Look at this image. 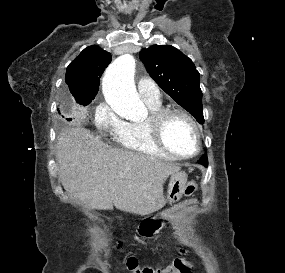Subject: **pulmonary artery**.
<instances>
[{"mask_svg":"<svg viewBox=\"0 0 285 273\" xmlns=\"http://www.w3.org/2000/svg\"><path fill=\"white\" fill-rule=\"evenodd\" d=\"M137 88L145 102H160L161 93L154 81L148 77H141L137 81Z\"/></svg>","mask_w":285,"mask_h":273,"instance_id":"pulmonary-artery-1","label":"pulmonary artery"}]
</instances>
